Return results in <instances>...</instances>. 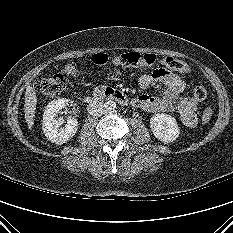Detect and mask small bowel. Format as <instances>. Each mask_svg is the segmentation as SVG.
Returning a JSON list of instances; mask_svg holds the SVG:
<instances>
[{
  "label": "small bowel",
  "instance_id": "c3829d8e",
  "mask_svg": "<svg viewBox=\"0 0 233 233\" xmlns=\"http://www.w3.org/2000/svg\"><path fill=\"white\" fill-rule=\"evenodd\" d=\"M121 77V72L116 71ZM139 86L143 89L154 83H161L165 91L161 97H152L140 94L134 99V104L148 112H177L186 127H195L197 124L198 102L193 97L182 96L186 83L185 80L166 68H157L150 74H143L138 79Z\"/></svg>",
  "mask_w": 233,
  "mask_h": 233
}]
</instances>
